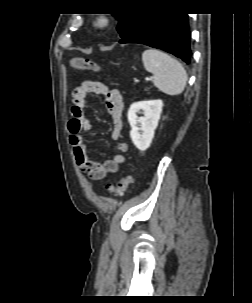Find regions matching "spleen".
Masks as SVG:
<instances>
[{"label":"spleen","instance_id":"3e777b00","mask_svg":"<svg viewBox=\"0 0 252 303\" xmlns=\"http://www.w3.org/2000/svg\"><path fill=\"white\" fill-rule=\"evenodd\" d=\"M145 69L154 75L153 84L167 95H179L183 92L187 73L176 59L157 50L147 49L142 54Z\"/></svg>","mask_w":252,"mask_h":303}]
</instances>
